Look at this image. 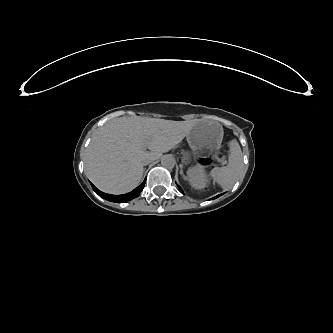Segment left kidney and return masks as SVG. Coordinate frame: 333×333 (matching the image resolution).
<instances>
[{
  "label": "left kidney",
  "instance_id": "obj_1",
  "mask_svg": "<svg viewBox=\"0 0 333 333\" xmlns=\"http://www.w3.org/2000/svg\"><path fill=\"white\" fill-rule=\"evenodd\" d=\"M186 174L189 184L195 189H204L210 184L209 174L202 164L190 166Z\"/></svg>",
  "mask_w": 333,
  "mask_h": 333
}]
</instances>
